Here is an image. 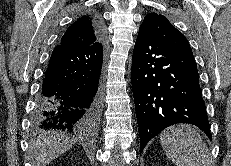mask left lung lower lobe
I'll list each match as a JSON object with an SVG mask.
<instances>
[{
    "mask_svg": "<svg viewBox=\"0 0 231 166\" xmlns=\"http://www.w3.org/2000/svg\"><path fill=\"white\" fill-rule=\"evenodd\" d=\"M131 77L140 151L154 136L177 123L193 124L211 139L191 50L161 43L139 29Z\"/></svg>",
    "mask_w": 231,
    "mask_h": 166,
    "instance_id": "0a47b994",
    "label": "left lung lower lobe"
}]
</instances>
